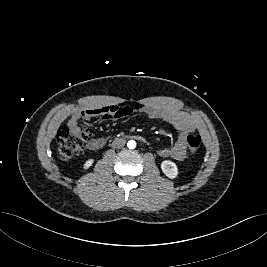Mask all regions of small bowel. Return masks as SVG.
Here are the masks:
<instances>
[{"instance_id":"1","label":"small bowel","mask_w":267,"mask_h":267,"mask_svg":"<svg viewBox=\"0 0 267 267\" xmlns=\"http://www.w3.org/2000/svg\"><path fill=\"white\" fill-rule=\"evenodd\" d=\"M131 112V108L121 106H105L76 110L73 112L72 119L69 123H76L79 119L88 120L95 116H102L104 120H111L127 116ZM140 112L151 119L165 121L179 131L177 141L172 146L160 149L159 155L176 160L184 159L187 155V138L196 130L195 121L185 113L170 109H162L156 106H145L140 109ZM107 142L108 137L94 138L89 141L88 148L90 150H99L103 148Z\"/></svg>"}]
</instances>
